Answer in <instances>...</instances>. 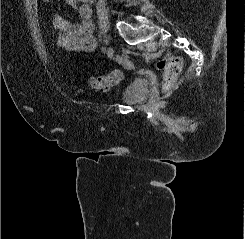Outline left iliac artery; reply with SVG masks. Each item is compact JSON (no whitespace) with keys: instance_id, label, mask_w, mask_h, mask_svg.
I'll use <instances>...</instances> for the list:
<instances>
[{"instance_id":"left-iliac-artery-1","label":"left iliac artery","mask_w":245,"mask_h":239,"mask_svg":"<svg viewBox=\"0 0 245 239\" xmlns=\"http://www.w3.org/2000/svg\"><path fill=\"white\" fill-rule=\"evenodd\" d=\"M101 50H102L103 53H105L106 48L103 46V47L101 48Z\"/></svg>"}]
</instances>
